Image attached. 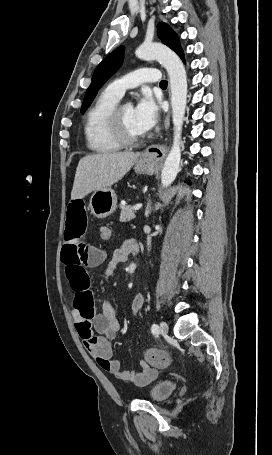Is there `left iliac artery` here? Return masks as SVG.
Segmentation results:
<instances>
[{"instance_id":"left-iliac-artery-1","label":"left iliac artery","mask_w":272,"mask_h":455,"mask_svg":"<svg viewBox=\"0 0 272 455\" xmlns=\"http://www.w3.org/2000/svg\"><path fill=\"white\" fill-rule=\"evenodd\" d=\"M151 331L154 335H158L159 334V326L157 324H153L152 327H151Z\"/></svg>"}]
</instances>
